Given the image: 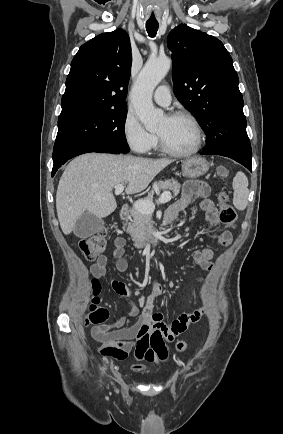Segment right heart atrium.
<instances>
[{"mask_svg":"<svg viewBox=\"0 0 283 434\" xmlns=\"http://www.w3.org/2000/svg\"><path fill=\"white\" fill-rule=\"evenodd\" d=\"M122 131L128 146L137 153L145 154L157 143L156 135L149 132L131 111L125 115Z\"/></svg>","mask_w":283,"mask_h":434,"instance_id":"1","label":"right heart atrium"}]
</instances>
